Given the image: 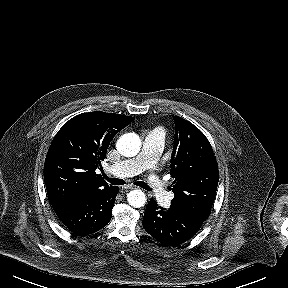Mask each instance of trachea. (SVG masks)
I'll return each mask as SVG.
<instances>
[{
  "mask_svg": "<svg viewBox=\"0 0 288 288\" xmlns=\"http://www.w3.org/2000/svg\"><path fill=\"white\" fill-rule=\"evenodd\" d=\"M104 177L112 185H123V184H125V181L123 179L109 178L106 175H104ZM134 184L139 186V187H141V188H143V189H145V190L150 191V187L145 182L137 181Z\"/></svg>",
  "mask_w": 288,
  "mask_h": 288,
  "instance_id": "obj_1",
  "label": "trachea"
}]
</instances>
